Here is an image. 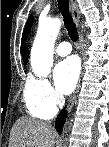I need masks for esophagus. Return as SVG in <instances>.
I'll list each match as a JSON object with an SVG mask.
<instances>
[{"label": "esophagus", "mask_w": 109, "mask_h": 147, "mask_svg": "<svg viewBox=\"0 0 109 147\" xmlns=\"http://www.w3.org/2000/svg\"><path fill=\"white\" fill-rule=\"evenodd\" d=\"M70 11H71V14H72V17H73L75 23L78 25L79 20H80L79 10H78V7H77L75 1H73V0H70ZM79 50H80V52H82V36L81 35L79 37ZM79 87H80V84L77 86V89L74 91L73 95L69 99V102L67 105L68 112L72 109V107L74 105L77 94L79 92Z\"/></svg>", "instance_id": "1"}]
</instances>
